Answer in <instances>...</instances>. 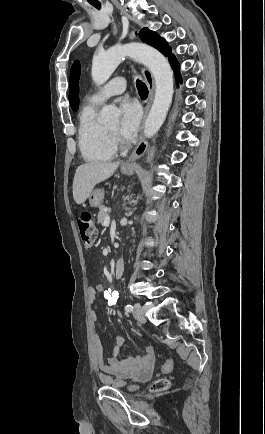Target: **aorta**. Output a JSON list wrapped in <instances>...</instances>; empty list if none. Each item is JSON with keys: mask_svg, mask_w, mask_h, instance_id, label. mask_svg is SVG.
<instances>
[{"mask_svg": "<svg viewBox=\"0 0 265 434\" xmlns=\"http://www.w3.org/2000/svg\"><path fill=\"white\" fill-rule=\"evenodd\" d=\"M130 56L137 62H142L149 68L155 80V98L149 116L145 122L144 134L152 138L166 120L168 110L172 104L174 94L173 72L164 56L145 44H126V46H113L104 54L93 56L91 76L96 86H102L115 72L122 58ZM120 112L114 106L102 108L100 122L118 124Z\"/></svg>", "mask_w": 265, "mask_h": 434, "instance_id": "aorta-1", "label": "aorta"}]
</instances>
